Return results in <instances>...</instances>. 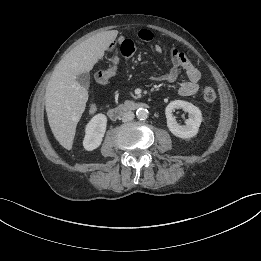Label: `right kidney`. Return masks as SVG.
Returning a JSON list of instances; mask_svg holds the SVG:
<instances>
[{
	"label": "right kidney",
	"mask_w": 261,
	"mask_h": 261,
	"mask_svg": "<svg viewBox=\"0 0 261 261\" xmlns=\"http://www.w3.org/2000/svg\"><path fill=\"white\" fill-rule=\"evenodd\" d=\"M107 117L104 114H96L88 122L85 128L83 146L87 151L98 148L106 132Z\"/></svg>",
	"instance_id": "ca27d5eb"
}]
</instances>
